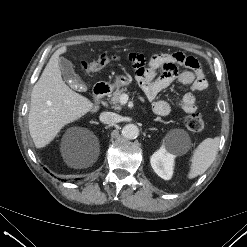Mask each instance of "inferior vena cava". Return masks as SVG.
<instances>
[{
	"label": "inferior vena cava",
	"instance_id": "obj_1",
	"mask_svg": "<svg viewBox=\"0 0 247 247\" xmlns=\"http://www.w3.org/2000/svg\"><path fill=\"white\" fill-rule=\"evenodd\" d=\"M99 119L104 124H115L119 122L120 117L118 114L113 112H102Z\"/></svg>",
	"mask_w": 247,
	"mask_h": 247
}]
</instances>
